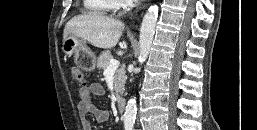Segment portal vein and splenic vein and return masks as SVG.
<instances>
[{
    "mask_svg": "<svg viewBox=\"0 0 257 130\" xmlns=\"http://www.w3.org/2000/svg\"><path fill=\"white\" fill-rule=\"evenodd\" d=\"M120 65V62L117 60H111L109 66L105 70V73L114 72Z\"/></svg>",
    "mask_w": 257,
    "mask_h": 130,
    "instance_id": "obj_1",
    "label": "portal vein and splenic vein"
}]
</instances>
